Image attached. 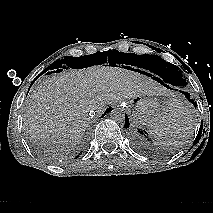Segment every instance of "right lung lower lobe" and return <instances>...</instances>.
<instances>
[{"mask_svg":"<svg viewBox=\"0 0 213 213\" xmlns=\"http://www.w3.org/2000/svg\"><path fill=\"white\" fill-rule=\"evenodd\" d=\"M47 71V70H46ZM60 71H62V69H57V70H55V71H53V72H60ZM50 72H48L47 74H49ZM52 73V72H51ZM109 111H111V107L110 108H108L107 110H106V112L105 113H107V112H109Z\"/></svg>","mask_w":213,"mask_h":213,"instance_id":"1","label":"right lung lower lobe"}]
</instances>
